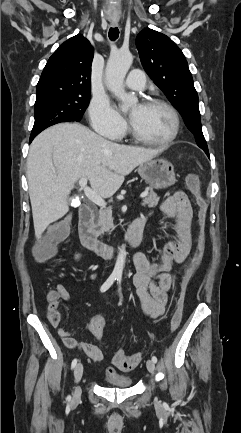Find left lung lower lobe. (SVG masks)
<instances>
[{"instance_id":"obj_1","label":"left lung lower lobe","mask_w":241,"mask_h":433,"mask_svg":"<svg viewBox=\"0 0 241 433\" xmlns=\"http://www.w3.org/2000/svg\"><path fill=\"white\" fill-rule=\"evenodd\" d=\"M204 152L207 154V156L209 157V152L208 150H204Z\"/></svg>"}]
</instances>
